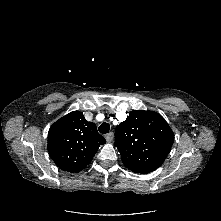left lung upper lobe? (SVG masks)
<instances>
[{
    "label": "left lung upper lobe",
    "instance_id": "1",
    "mask_svg": "<svg viewBox=\"0 0 221 221\" xmlns=\"http://www.w3.org/2000/svg\"><path fill=\"white\" fill-rule=\"evenodd\" d=\"M173 142V131L154 111L131 112L115 131V146L122 162L135 173L156 170L166 159Z\"/></svg>",
    "mask_w": 221,
    "mask_h": 221
}]
</instances>
